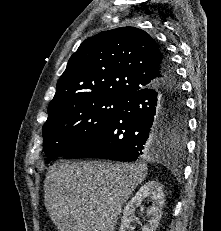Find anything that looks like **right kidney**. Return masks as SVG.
Returning <instances> with one entry per match:
<instances>
[{
    "mask_svg": "<svg viewBox=\"0 0 221 231\" xmlns=\"http://www.w3.org/2000/svg\"><path fill=\"white\" fill-rule=\"evenodd\" d=\"M145 199L151 202V206L146 210L148 222L142 227V231L156 230L162 217V208L165 201L164 193L159 182L148 181L141 186L135 196L124 208L119 231H130L132 229L131 223L135 218V210L141 206Z\"/></svg>",
    "mask_w": 221,
    "mask_h": 231,
    "instance_id": "ca27d5eb",
    "label": "right kidney"
}]
</instances>
